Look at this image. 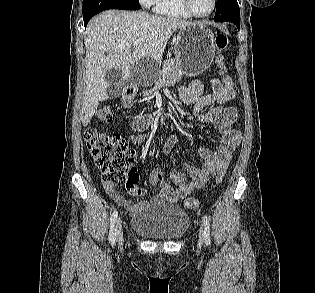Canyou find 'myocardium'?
<instances>
[{
    "instance_id": "f54148a6",
    "label": "myocardium",
    "mask_w": 315,
    "mask_h": 293,
    "mask_svg": "<svg viewBox=\"0 0 315 293\" xmlns=\"http://www.w3.org/2000/svg\"><path fill=\"white\" fill-rule=\"evenodd\" d=\"M183 5L185 7V9L193 16V17H197V18H206L208 16H210L216 9L217 6V0H212L213 5L211 10L206 13V14H198L197 12H195V10L192 7V3L191 0H182Z\"/></svg>"
}]
</instances>
